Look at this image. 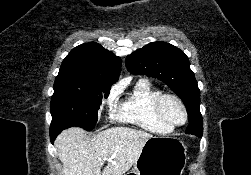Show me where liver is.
<instances>
[{
  "mask_svg": "<svg viewBox=\"0 0 251 175\" xmlns=\"http://www.w3.org/2000/svg\"><path fill=\"white\" fill-rule=\"evenodd\" d=\"M148 137L147 131L109 127L88 137L81 127L64 129L56 137L63 175H123L135 163ZM103 157H112L103 171Z\"/></svg>",
  "mask_w": 251,
  "mask_h": 175,
  "instance_id": "liver-1",
  "label": "liver"
}]
</instances>
